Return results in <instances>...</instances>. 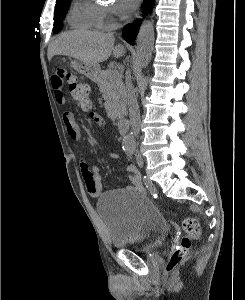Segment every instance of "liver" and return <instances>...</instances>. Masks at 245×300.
<instances>
[{
    "instance_id": "obj_1",
    "label": "liver",
    "mask_w": 245,
    "mask_h": 300,
    "mask_svg": "<svg viewBox=\"0 0 245 300\" xmlns=\"http://www.w3.org/2000/svg\"><path fill=\"white\" fill-rule=\"evenodd\" d=\"M112 33L96 31H70L61 34L48 49V60L55 55H65L88 64H98L113 53L115 58L123 55L124 47H114Z\"/></svg>"
}]
</instances>
